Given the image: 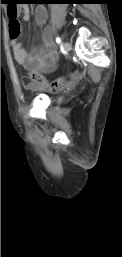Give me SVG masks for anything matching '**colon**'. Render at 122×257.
I'll return each instance as SVG.
<instances>
[{
  "instance_id": "5ec220e1",
  "label": "colon",
  "mask_w": 122,
  "mask_h": 257,
  "mask_svg": "<svg viewBox=\"0 0 122 257\" xmlns=\"http://www.w3.org/2000/svg\"><path fill=\"white\" fill-rule=\"evenodd\" d=\"M6 10H9V33L11 38H17L21 33V25L17 19L18 5H6ZM85 75L82 70H74V74H70V79H84ZM66 78H58L53 82H47L44 77L36 72H30L25 78V83L30 88H40L46 91H58L63 88Z\"/></svg>"
}]
</instances>
